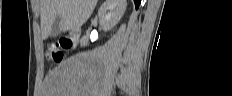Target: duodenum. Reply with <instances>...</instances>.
<instances>
[{"label": "duodenum", "mask_w": 232, "mask_h": 96, "mask_svg": "<svg viewBox=\"0 0 232 96\" xmlns=\"http://www.w3.org/2000/svg\"><path fill=\"white\" fill-rule=\"evenodd\" d=\"M79 35H80L79 31H71L69 33V38L75 45H77L78 43Z\"/></svg>", "instance_id": "410a0bca"}]
</instances>
